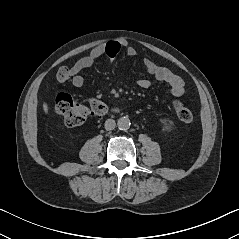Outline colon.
I'll return each mask as SVG.
<instances>
[{"label":"colon","mask_w":239,"mask_h":239,"mask_svg":"<svg viewBox=\"0 0 239 239\" xmlns=\"http://www.w3.org/2000/svg\"><path fill=\"white\" fill-rule=\"evenodd\" d=\"M71 76L68 67H61L57 72V78L65 81ZM172 107L179 119L183 122L192 120L191 111L178 99L172 101ZM55 109L63 116L64 123L68 127H75L83 124L90 115H99L105 112L104 104L97 98H91L87 102L74 100L69 94H58L55 99Z\"/></svg>","instance_id":"1"}]
</instances>
